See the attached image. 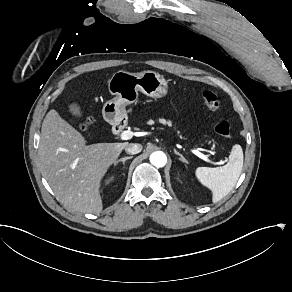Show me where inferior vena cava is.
I'll return each instance as SVG.
<instances>
[{"mask_svg":"<svg viewBox=\"0 0 292 292\" xmlns=\"http://www.w3.org/2000/svg\"><path fill=\"white\" fill-rule=\"evenodd\" d=\"M141 150H142V145L138 143H131L125 148V151L128 154H137L141 152Z\"/></svg>","mask_w":292,"mask_h":292,"instance_id":"obj_1","label":"inferior vena cava"}]
</instances>
